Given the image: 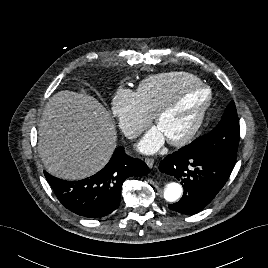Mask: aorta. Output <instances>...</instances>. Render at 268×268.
<instances>
[{"label": "aorta", "instance_id": "aorta-1", "mask_svg": "<svg viewBox=\"0 0 268 268\" xmlns=\"http://www.w3.org/2000/svg\"><path fill=\"white\" fill-rule=\"evenodd\" d=\"M183 192V188L179 183L170 182L167 183L163 190V197L168 202L177 201Z\"/></svg>", "mask_w": 268, "mask_h": 268}]
</instances>
